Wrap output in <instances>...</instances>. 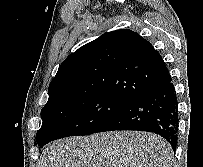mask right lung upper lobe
<instances>
[{"mask_svg": "<svg viewBox=\"0 0 203 167\" xmlns=\"http://www.w3.org/2000/svg\"><path fill=\"white\" fill-rule=\"evenodd\" d=\"M169 77L161 55L138 33L128 29L107 32L62 62L42 110L97 94L131 102Z\"/></svg>", "mask_w": 203, "mask_h": 167, "instance_id": "obj_1", "label": "right lung upper lobe"}]
</instances>
